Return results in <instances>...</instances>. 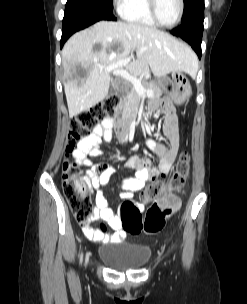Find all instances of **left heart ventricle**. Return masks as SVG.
<instances>
[{
  "label": "left heart ventricle",
  "mask_w": 247,
  "mask_h": 304,
  "mask_svg": "<svg viewBox=\"0 0 247 304\" xmlns=\"http://www.w3.org/2000/svg\"><path fill=\"white\" fill-rule=\"evenodd\" d=\"M157 14L162 23L166 25L174 23L179 14V1L157 0Z\"/></svg>",
  "instance_id": "left-heart-ventricle-1"
}]
</instances>
